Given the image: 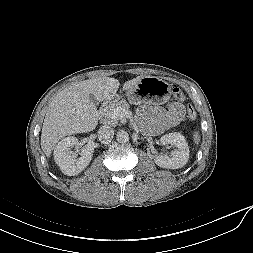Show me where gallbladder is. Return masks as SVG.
Returning a JSON list of instances; mask_svg holds the SVG:
<instances>
[{
    "label": "gallbladder",
    "instance_id": "obj_1",
    "mask_svg": "<svg viewBox=\"0 0 253 253\" xmlns=\"http://www.w3.org/2000/svg\"><path fill=\"white\" fill-rule=\"evenodd\" d=\"M89 100L94 103V104H97L98 103V100L97 98L93 95V94H90L89 95Z\"/></svg>",
    "mask_w": 253,
    "mask_h": 253
}]
</instances>
